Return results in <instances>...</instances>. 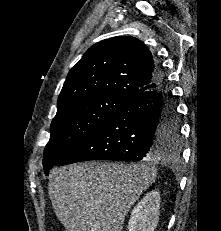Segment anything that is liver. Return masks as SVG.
I'll return each instance as SVG.
<instances>
[{"mask_svg": "<svg viewBox=\"0 0 221 231\" xmlns=\"http://www.w3.org/2000/svg\"><path fill=\"white\" fill-rule=\"evenodd\" d=\"M168 158L162 153L140 164L84 162L54 168L48 184L53 209L66 231H122L129 209L155 181L152 161Z\"/></svg>", "mask_w": 221, "mask_h": 231, "instance_id": "obj_1", "label": "liver"}]
</instances>
